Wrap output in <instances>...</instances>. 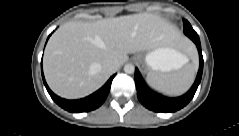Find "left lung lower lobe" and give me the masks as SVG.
<instances>
[{"label":"left lung lower lobe","mask_w":239,"mask_h":136,"mask_svg":"<svg viewBox=\"0 0 239 136\" xmlns=\"http://www.w3.org/2000/svg\"><path fill=\"white\" fill-rule=\"evenodd\" d=\"M186 35L196 44L199 57L200 67L196 77V80L191 89L183 96L176 98H169L162 96L152 90H150L144 83L138 69L135 70V83L137 89V96L139 101L148 109L155 112H175L184 106H186L193 98L202 78L203 72V56L201 51V44L198 34L195 31H188Z\"/></svg>","instance_id":"left-lung-lower-lobe-1"}]
</instances>
